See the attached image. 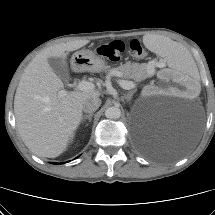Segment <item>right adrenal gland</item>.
Returning <instances> with one entry per match:
<instances>
[{
    "label": "right adrenal gland",
    "instance_id": "obj_1",
    "mask_svg": "<svg viewBox=\"0 0 215 215\" xmlns=\"http://www.w3.org/2000/svg\"><path fill=\"white\" fill-rule=\"evenodd\" d=\"M92 116H93V113H90V114H88V115H84V116L82 117V119H81V122L83 123L86 119H88L89 122H91Z\"/></svg>",
    "mask_w": 215,
    "mask_h": 215
}]
</instances>
